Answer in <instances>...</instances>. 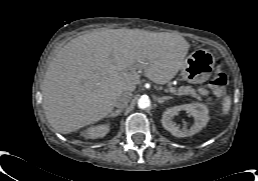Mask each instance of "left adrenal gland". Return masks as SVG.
Returning <instances> with one entry per match:
<instances>
[{
	"instance_id": "a2214340",
	"label": "left adrenal gland",
	"mask_w": 258,
	"mask_h": 181,
	"mask_svg": "<svg viewBox=\"0 0 258 181\" xmlns=\"http://www.w3.org/2000/svg\"><path fill=\"white\" fill-rule=\"evenodd\" d=\"M171 96H164V97H157L156 100L158 101V103L162 104L164 103L166 100L171 99Z\"/></svg>"
}]
</instances>
